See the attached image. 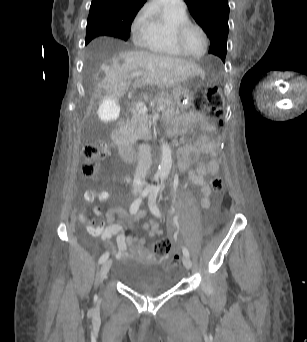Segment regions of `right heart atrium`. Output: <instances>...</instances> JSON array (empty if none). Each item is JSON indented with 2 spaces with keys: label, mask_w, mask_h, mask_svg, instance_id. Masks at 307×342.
Returning <instances> with one entry per match:
<instances>
[{
  "label": "right heart atrium",
  "mask_w": 307,
  "mask_h": 342,
  "mask_svg": "<svg viewBox=\"0 0 307 342\" xmlns=\"http://www.w3.org/2000/svg\"><path fill=\"white\" fill-rule=\"evenodd\" d=\"M129 38L132 42L141 41L152 36V31L144 12L137 13L129 24Z\"/></svg>",
  "instance_id": "obj_1"
}]
</instances>
